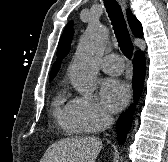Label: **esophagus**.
I'll return each instance as SVG.
<instances>
[{
    "instance_id": "34e87169",
    "label": "esophagus",
    "mask_w": 168,
    "mask_h": 162,
    "mask_svg": "<svg viewBox=\"0 0 168 162\" xmlns=\"http://www.w3.org/2000/svg\"><path fill=\"white\" fill-rule=\"evenodd\" d=\"M120 1V4L123 8H125V0H119Z\"/></svg>"
}]
</instances>
